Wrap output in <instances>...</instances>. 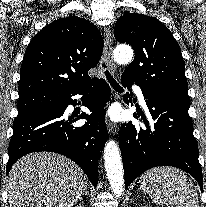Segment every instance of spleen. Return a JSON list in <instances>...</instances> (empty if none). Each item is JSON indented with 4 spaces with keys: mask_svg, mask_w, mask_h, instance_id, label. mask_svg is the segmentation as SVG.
I'll list each match as a JSON object with an SVG mask.
<instances>
[{
    "mask_svg": "<svg viewBox=\"0 0 206 207\" xmlns=\"http://www.w3.org/2000/svg\"><path fill=\"white\" fill-rule=\"evenodd\" d=\"M140 188L152 201L167 207H199L197 192L185 173L172 167H158L145 172Z\"/></svg>",
    "mask_w": 206,
    "mask_h": 207,
    "instance_id": "spleen-1",
    "label": "spleen"
}]
</instances>
